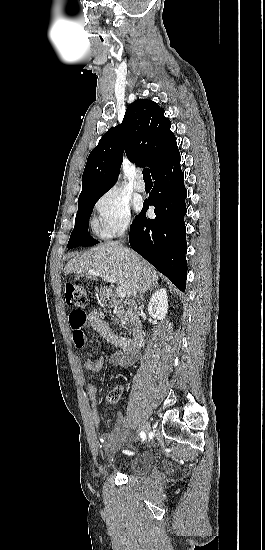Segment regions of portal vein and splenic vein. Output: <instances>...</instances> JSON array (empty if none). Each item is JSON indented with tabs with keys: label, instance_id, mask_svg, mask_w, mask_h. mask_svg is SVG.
Listing matches in <instances>:
<instances>
[{
	"label": "portal vein and splenic vein",
	"instance_id": "18ae733b",
	"mask_svg": "<svg viewBox=\"0 0 265 550\" xmlns=\"http://www.w3.org/2000/svg\"><path fill=\"white\" fill-rule=\"evenodd\" d=\"M91 275H96V276H101L103 277L106 281L110 282V283H115V280L108 276V275H102L96 271H91L90 272ZM116 293L119 297L123 298V297H126V291L122 288V287H117L116 289Z\"/></svg>",
	"mask_w": 265,
	"mask_h": 550
}]
</instances>
